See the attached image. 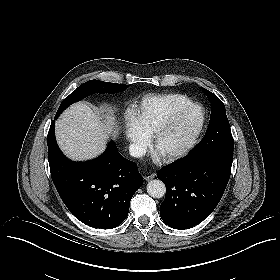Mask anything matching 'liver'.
Wrapping results in <instances>:
<instances>
[{"label":"liver","mask_w":280,"mask_h":280,"mask_svg":"<svg viewBox=\"0 0 280 280\" xmlns=\"http://www.w3.org/2000/svg\"><path fill=\"white\" fill-rule=\"evenodd\" d=\"M115 119L100 113L86 102L67 108L55 123V135L62 152L73 161H87L101 155L109 136L117 135Z\"/></svg>","instance_id":"6515ba94"}]
</instances>
